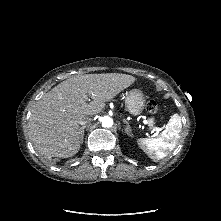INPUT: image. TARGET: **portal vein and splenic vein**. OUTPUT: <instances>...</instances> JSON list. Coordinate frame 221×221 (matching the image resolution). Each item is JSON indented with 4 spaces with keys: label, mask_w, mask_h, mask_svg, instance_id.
<instances>
[{
    "label": "portal vein and splenic vein",
    "mask_w": 221,
    "mask_h": 221,
    "mask_svg": "<svg viewBox=\"0 0 221 221\" xmlns=\"http://www.w3.org/2000/svg\"><path fill=\"white\" fill-rule=\"evenodd\" d=\"M145 123H146V122H145ZM154 131L159 132V131H160V128H159V127H154L153 130H152V132H154Z\"/></svg>",
    "instance_id": "1"
}]
</instances>
